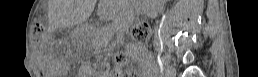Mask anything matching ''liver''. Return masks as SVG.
Returning <instances> with one entry per match:
<instances>
[{"label": "liver", "mask_w": 258, "mask_h": 77, "mask_svg": "<svg viewBox=\"0 0 258 77\" xmlns=\"http://www.w3.org/2000/svg\"><path fill=\"white\" fill-rule=\"evenodd\" d=\"M64 20L67 24H75L76 22V4L74 0L69 1V6L65 9L63 13Z\"/></svg>", "instance_id": "liver-1"}]
</instances>
